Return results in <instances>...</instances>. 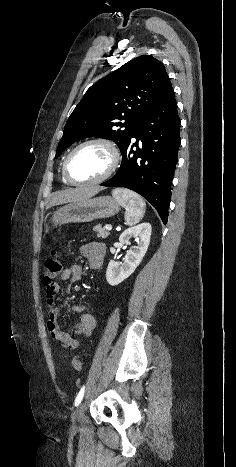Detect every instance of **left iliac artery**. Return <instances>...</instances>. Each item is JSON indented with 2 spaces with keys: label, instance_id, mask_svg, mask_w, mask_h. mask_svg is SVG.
Wrapping results in <instances>:
<instances>
[{
  "label": "left iliac artery",
  "instance_id": "1",
  "mask_svg": "<svg viewBox=\"0 0 236 467\" xmlns=\"http://www.w3.org/2000/svg\"><path fill=\"white\" fill-rule=\"evenodd\" d=\"M84 392H85V386H83V387L81 388V390L79 391V393H78V395H77V397H76V399H75L74 405H75L76 407L81 403V401H82V399H83V396H84Z\"/></svg>",
  "mask_w": 236,
  "mask_h": 467
}]
</instances>
